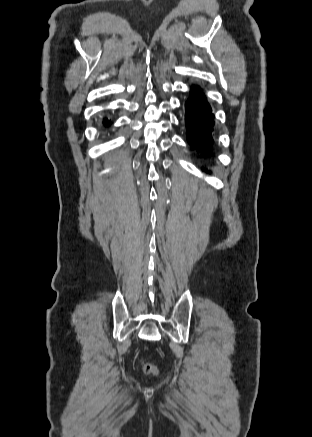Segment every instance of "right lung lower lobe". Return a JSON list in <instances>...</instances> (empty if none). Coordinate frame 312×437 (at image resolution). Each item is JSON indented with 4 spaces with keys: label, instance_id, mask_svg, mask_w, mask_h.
<instances>
[{
    "label": "right lung lower lobe",
    "instance_id": "right-lung-lower-lobe-1",
    "mask_svg": "<svg viewBox=\"0 0 312 437\" xmlns=\"http://www.w3.org/2000/svg\"><path fill=\"white\" fill-rule=\"evenodd\" d=\"M110 124V121H107V120H104V125H109Z\"/></svg>",
    "mask_w": 312,
    "mask_h": 437
}]
</instances>
